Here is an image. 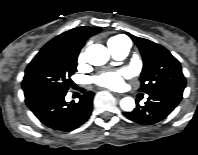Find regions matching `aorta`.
I'll return each mask as SVG.
<instances>
[{"mask_svg": "<svg viewBox=\"0 0 198 155\" xmlns=\"http://www.w3.org/2000/svg\"><path fill=\"white\" fill-rule=\"evenodd\" d=\"M110 54L108 49L101 44H92L86 49V58L89 64L101 66L107 63ZM123 111L130 112L135 108V100L132 97H125L120 101Z\"/></svg>", "mask_w": 198, "mask_h": 155, "instance_id": "1", "label": "aorta"}]
</instances>
